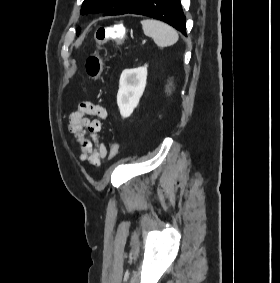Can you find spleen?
<instances>
[{"label": "spleen", "mask_w": 280, "mask_h": 283, "mask_svg": "<svg viewBox=\"0 0 280 283\" xmlns=\"http://www.w3.org/2000/svg\"><path fill=\"white\" fill-rule=\"evenodd\" d=\"M145 35L151 37L158 47H168L178 41L177 31L166 23L157 20H142Z\"/></svg>", "instance_id": "1"}]
</instances>
